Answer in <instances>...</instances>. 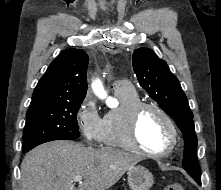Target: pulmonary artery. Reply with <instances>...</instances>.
<instances>
[{
  "label": "pulmonary artery",
  "instance_id": "pulmonary-artery-1",
  "mask_svg": "<svg viewBox=\"0 0 221 190\" xmlns=\"http://www.w3.org/2000/svg\"><path fill=\"white\" fill-rule=\"evenodd\" d=\"M124 84H128V83L123 80H119V81H116L114 85L118 86V85H124Z\"/></svg>",
  "mask_w": 221,
  "mask_h": 190
}]
</instances>
